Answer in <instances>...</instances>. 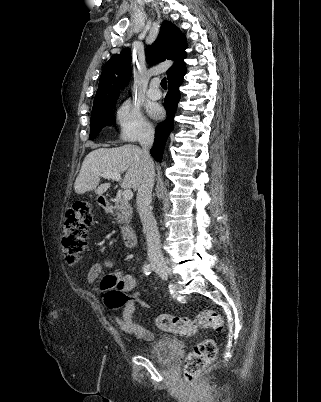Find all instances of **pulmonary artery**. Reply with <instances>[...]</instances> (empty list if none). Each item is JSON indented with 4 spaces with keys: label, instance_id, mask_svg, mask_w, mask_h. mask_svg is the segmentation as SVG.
I'll return each mask as SVG.
<instances>
[{
    "label": "pulmonary artery",
    "instance_id": "e3ab8cb5",
    "mask_svg": "<svg viewBox=\"0 0 321 402\" xmlns=\"http://www.w3.org/2000/svg\"><path fill=\"white\" fill-rule=\"evenodd\" d=\"M147 96L152 100H158L161 98V91L159 89V80L157 78L150 82L147 90Z\"/></svg>",
    "mask_w": 321,
    "mask_h": 402
}]
</instances>
